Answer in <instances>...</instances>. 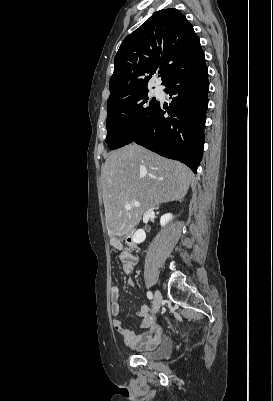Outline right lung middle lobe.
I'll use <instances>...</instances> for the list:
<instances>
[{
    "mask_svg": "<svg viewBox=\"0 0 273 401\" xmlns=\"http://www.w3.org/2000/svg\"><path fill=\"white\" fill-rule=\"evenodd\" d=\"M159 103L155 98H149L146 90L108 106L106 142L109 148L117 149L131 143Z\"/></svg>",
    "mask_w": 273,
    "mask_h": 401,
    "instance_id": "obj_1",
    "label": "right lung middle lobe"
}]
</instances>
